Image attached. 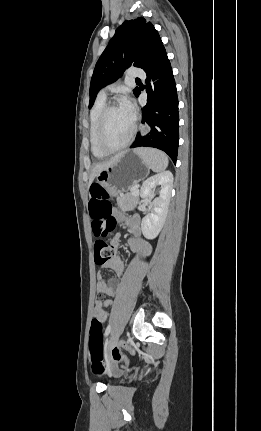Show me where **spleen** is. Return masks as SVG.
I'll use <instances>...</instances> for the list:
<instances>
[{
    "label": "spleen",
    "instance_id": "3e777b00",
    "mask_svg": "<svg viewBox=\"0 0 261 431\" xmlns=\"http://www.w3.org/2000/svg\"><path fill=\"white\" fill-rule=\"evenodd\" d=\"M136 151L153 171L160 172L167 168L168 157L162 151L150 148H139Z\"/></svg>",
    "mask_w": 261,
    "mask_h": 431
}]
</instances>
